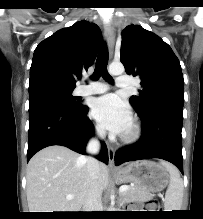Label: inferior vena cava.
I'll use <instances>...</instances> for the list:
<instances>
[{
  "instance_id": "602c4592",
  "label": "inferior vena cava",
  "mask_w": 203,
  "mask_h": 219,
  "mask_svg": "<svg viewBox=\"0 0 203 219\" xmlns=\"http://www.w3.org/2000/svg\"><path fill=\"white\" fill-rule=\"evenodd\" d=\"M97 135L99 138L103 139L105 137V130L101 127L97 128ZM100 151V142L97 138H92L89 140L86 146V152L92 155L98 154ZM87 173L88 179L91 184L90 193L84 204V211H99L101 204V191L97 188L96 180L98 178L99 162L94 157H87Z\"/></svg>"
}]
</instances>
